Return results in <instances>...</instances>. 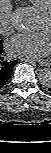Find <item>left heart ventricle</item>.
<instances>
[{
    "label": "left heart ventricle",
    "mask_w": 51,
    "mask_h": 153,
    "mask_svg": "<svg viewBox=\"0 0 51 153\" xmlns=\"http://www.w3.org/2000/svg\"><path fill=\"white\" fill-rule=\"evenodd\" d=\"M38 29L51 30V19L41 15L38 23Z\"/></svg>",
    "instance_id": "left-heart-ventricle-1"
}]
</instances>
